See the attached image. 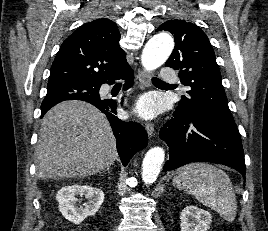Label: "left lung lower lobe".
I'll return each instance as SVG.
<instances>
[{
  "label": "left lung lower lobe",
  "mask_w": 268,
  "mask_h": 231,
  "mask_svg": "<svg viewBox=\"0 0 268 231\" xmlns=\"http://www.w3.org/2000/svg\"><path fill=\"white\" fill-rule=\"evenodd\" d=\"M159 136L169 147L163 171L191 162H212L229 166L245 178L243 146L237 128L212 118L174 113Z\"/></svg>",
  "instance_id": "obj_1"
}]
</instances>
